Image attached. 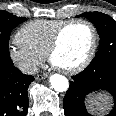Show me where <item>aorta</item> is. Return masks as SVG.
<instances>
[{
	"label": "aorta",
	"instance_id": "aorta-1",
	"mask_svg": "<svg viewBox=\"0 0 116 116\" xmlns=\"http://www.w3.org/2000/svg\"><path fill=\"white\" fill-rule=\"evenodd\" d=\"M50 84L55 91L64 92L69 87L68 79L60 74H53L49 78Z\"/></svg>",
	"mask_w": 116,
	"mask_h": 116
}]
</instances>
